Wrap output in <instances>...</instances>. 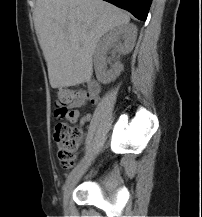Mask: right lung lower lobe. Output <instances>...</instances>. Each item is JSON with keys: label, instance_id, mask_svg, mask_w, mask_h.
Returning <instances> with one entry per match:
<instances>
[{"label": "right lung lower lobe", "instance_id": "right-lung-lower-lobe-1", "mask_svg": "<svg viewBox=\"0 0 202 217\" xmlns=\"http://www.w3.org/2000/svg\"><path fill=\"white\" fill-rule=\"evenodd\" d=\"M117 7L128 10L137 19L145 21L152 0H105Z\"/></svg>", "mask_w": 202, "mask_h": 217}]
</instances>
